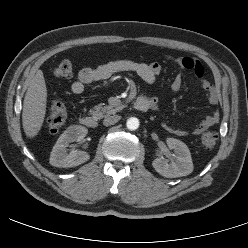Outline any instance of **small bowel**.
Here are the masks:
<instances>
[{"instance_id": "obj_1", "label": "small bowel", "mask_w": 248, "mask_h": 248, "mask_svg": "<svg viewBox=\"0 0 248 248\" xmlns=\"http://www.w3.org/2000/svg\"><path fill=\"white\" fill-rule=\"evenodd\" d=\"M178 67L192 71L195 76L200 79L203 89L206 91V96L211 104H217L219 101V93L213 82L206 78L205 69L202 63L193 57H169ZM120 72H133L137 74L144 82L151 84L162 72V65L158 62L144 63L136 62L129 59H120L107 62L95 68H83L79 71L77 80L71 85V91L74 94H82L88 86L109 79L114 74ZM182 87V77L177 75L171 84L173 91L177 92ZM151 108H156L158 100L156 97L148 98ZM220 121L219 112L215 111L212 114L202 119L194 129L189 132L180 128H174L167 123H163V128L177 136H186L189 133L199 135L206 129L215 126Z\"/></svg>"}]
</instances>
